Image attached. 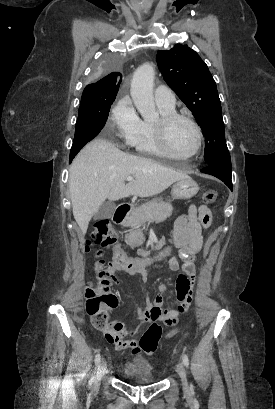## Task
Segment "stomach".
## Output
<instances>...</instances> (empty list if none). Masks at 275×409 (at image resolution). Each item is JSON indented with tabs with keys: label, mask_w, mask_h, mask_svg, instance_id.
Masks as SVG:
<instances>
[{
	"label": "stomach",
	"mask_w": 275,
	"mask_h": 409,
	"mask_svg": "<svg viewBox=\"0 0 275 409\" xmlns=\"http://www.w3.org/2000/svg\"><path fill=\"white\" fill-rule=\"evenodd\" d=\"M198 190L199 186L196 180H193L191 176H187V178H181V180L174 182L171 192L173 198H191V196L197 194Z\"/></svg>",
	"instance_id": "0dacf381"
}]
</instances>
